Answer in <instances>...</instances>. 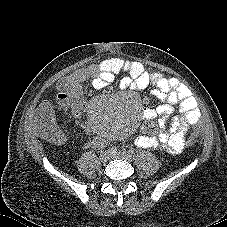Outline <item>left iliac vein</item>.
Returning a JSON list of instances; mask_svg holds the SVG:
<instances>
[{
	"label": "left iliac vein",
	"mask_w": 227,
	"mask_h": 227,
	"mask_svg": "<svg viewBox=\"0 0 227 227\" xmlns=\"http://www.w3.org/2000/svg\"><path fill=\"white\" fill-rule=\"evenodd\" d=\"M111 157L124 159L126 161H132V159H133V156L127 152H117V153L112 154Z\"/></svg>",
	"instance_id": "1"
}]
</instances>
